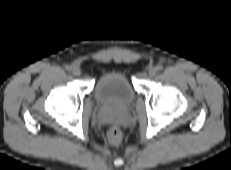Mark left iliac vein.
<instances>
[{"label": "left iliac vein", "mask_w": 231, "mask_h": 170, "mask_svg": "<svg viewBox=\"0 0 231 170\" xmlns=\"http://www.w3.org/2000/svg\"><path fill=\"white\" fill-rule=\"evenodd\" d=\"M157 73V69L155 67H152L149 69V75L150 76H155Z\"/></svg>", "instance_id": "4c4485c4"}]
</instances>
